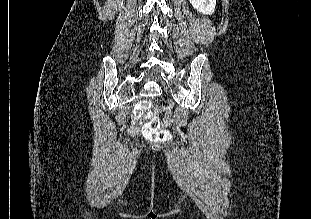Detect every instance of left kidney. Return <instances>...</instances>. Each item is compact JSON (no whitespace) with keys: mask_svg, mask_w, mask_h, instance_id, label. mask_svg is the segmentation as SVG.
I'll list each match as a JSON object with an SVG mask.
<instances>
[{"mask_svg":"<svg viewBox=\"0 0 311 219\" xmlns=\"http://www.w3.org/2000/svg\"><path fill=\"white\" fill-rule=\"evenodd\" d=\"M192 6L199 12L211 15L215 11L216 0H189Z\"/></svg>","mask_w":311,"mask_h":219,"instance_id":"left-kidney-1","label":"left kidney"}]
</instances>
